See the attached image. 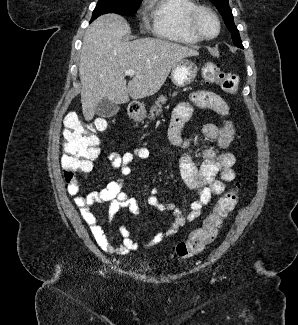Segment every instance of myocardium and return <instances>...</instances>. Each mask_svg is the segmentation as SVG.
Instances as JSON below:
<instances>
[{
  "label": "myocardium",
  "mask_w": 298,
  "mask_h": 325,
  "mask_svg": "<svg viewBox=\"0 0 298 325\" xmlns=\"http://www.w3.org/2000/svg\"><path fill=\"white\" fill-rule=\"evenodd\" d=\"M205 13L207 14L213 21L214 26H215V32L211 37H205L198 29L197 27V19L198 17L202 14ZM186 28L187 30L194 35L200 42H209L214 40L219 32H220V26L218 23V20L214 13L208 9L205 6H197L195 7L186 17L185 20Z\"/></svg>",
  "instance_id": "f54148a6"
}]
</instances>
